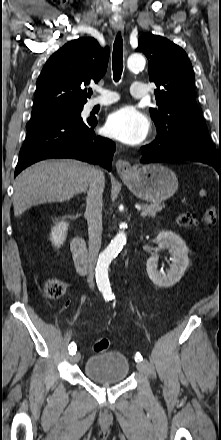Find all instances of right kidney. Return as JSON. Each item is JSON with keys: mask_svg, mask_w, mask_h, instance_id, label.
Returning a JSON list of instances; mask_svg holds the SVG:
<instances>
[{"mask_svg": "<svg viewBox=\"0 0 221 440\" xmlns=\"http://www.w3.org/2000/svg\"><path fill=\"white\" fill-rule=\"evenodd\" d=\"M68 226L69 224L67 222L61 221L52 228L50 240L55 247L63 245L66 239Z\"/></svg>", "mask_w": 221, "mask_h": 440, "instance_id": "ca27d5eb", "label": "right kidney"}]
</instances>
